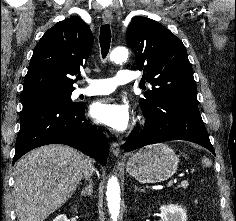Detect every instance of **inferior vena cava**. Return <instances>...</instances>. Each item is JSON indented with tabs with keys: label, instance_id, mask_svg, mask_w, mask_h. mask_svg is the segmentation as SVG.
Listing matches in <instances>:
<instances>
[{
	"label": "inferior vena cava",
	"instance_id": "inferior-vena-cava-1",
	"mask_svg": "<svg viewBox=\"0 0 236 221\" xmlns=\"http://www.w3.org/2000/svg\"><path fill=\"white\" fill-rule=\"evenodd\" d=\"M92 172H93L92 163H91V161L88 159L87 162H86L84 171H83L84 177H85L86 179H87V178H90V176L92 175Z\"/></svg>",
	"mask_w": 236,
	"mask_h": 221
}]
</instances>
